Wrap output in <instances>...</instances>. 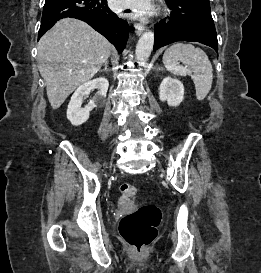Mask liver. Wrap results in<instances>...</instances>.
<instances>
[{
    "instance_id": "6515ba94",
    "label": "liver",
    "mask_w": 261,
    "mask_h": 273,
    "mask_svg": "<svg viewBox=\"0 0 261 273\" xmlns=\"http://www.w3.org/2000/svg\"><path fill=\"white\" fill-rule=\"evenodd\" d=\"M37 49L48 100L58 109L76 88L95 76L113 46L85 22L65 18L43 35Z\"/></svg>"
}]
</instances>
